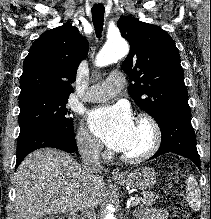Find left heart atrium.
Returning <instances> with one entry per match:
<instances>
[{
  "label": "left heart atrium",
  "instance_id": "1",
  "mask_svg": "<svg viewBox=\"0 0 211 219\" xmlns=\"http://www.w3.org/2000/svg\"><path fill=\"white\" fill-rule=\"evenodd\" d=\"M89 126L109 148L124 152L131 145L136 124L123 105L101 107L89 115Z\"/></svg>",
  "mask_w": 211,
  "mask_h": 219
}]
</instances>
